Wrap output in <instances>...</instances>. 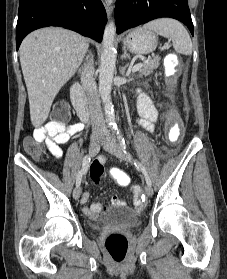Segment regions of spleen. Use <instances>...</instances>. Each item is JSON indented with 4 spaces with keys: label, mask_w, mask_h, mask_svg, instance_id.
<instances>
[{
    "label": "spleen",
    "mask_w": 227,
    "mask_h": 279,
    "mask_svg": "<svg viewBox=\"0 0 227 279\" xmlns=\"http://www.w3.org/2000/svg\"><path fill=\"white\" fill-rule=\"evenodd\" d=\"M143 28L152 30L172 40L176 52L184 55L192 54V41L180 22L174 19L163 18L151 21L145 24Z\"/></svg>",
    "instance_id": "spleen-1"
}]
</instances>
